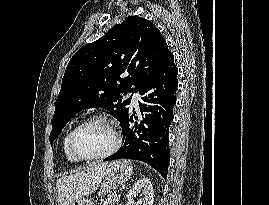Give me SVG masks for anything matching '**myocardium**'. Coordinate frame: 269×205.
I'll return each instance as SVG.
<instances>
[{
  "label": "myocardium",
  "instance_id": "obj_1",
  "mask_svg": "<svg viewBox=\"0 0 269 205\" xmlns=\"http://www.w3.org/2000/svg\"><path fill=\"white\" fill-rule=\"evenodd\" d=\"M93 122H102L107 125L113 137V144L107 151L101 154L89 157L81 156L76 152L74 147L75 136L82 127ZM120 146H121V136L118 130V124L114 119L104 114L92 115L81 121L78 125H76L72 129L68 139L69 152L72 155V157L75 158L77 161H95L105 159L113 155L115 152H117Z\"/></svg>",
  "mask_w": 269,
  "mask_h": 205
}]
</instances>
